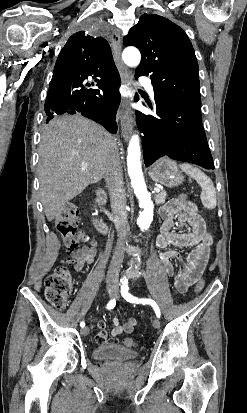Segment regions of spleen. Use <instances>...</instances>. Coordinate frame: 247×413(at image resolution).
Returning <instances> with one entry per match:
<instances>
[{
	"label": "spleen",
	"mask_w": 247,
	"mask_h": 413,
	"mask_svg": "<svg viewBox=\"0 0 247 413\" xmlns=\"http://www.w3.org/2000/svg\"><path fill=\"white\" fill-rule=\"evenodd\" d=\"M180 168H182L186 174H190V176L195 178L198 184H200L202 188L200 198L204 207H206V209H215L217 204L216 188L211 178H209L207 174H204L200 168L192 166V164H180Z\"/></svg>",
	"instance_id": "obj_1"
}]
</instances>
